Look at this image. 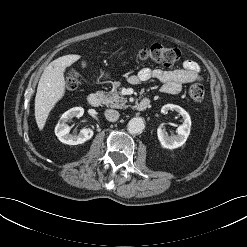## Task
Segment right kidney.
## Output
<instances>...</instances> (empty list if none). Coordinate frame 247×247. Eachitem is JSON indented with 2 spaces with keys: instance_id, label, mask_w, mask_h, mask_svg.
Segmentation results:
<instances>
[{
  "instance_id": "obj_1",
  "label": "right kidney",
  "mask_w": 247,
  "mask_h": 247,
  "mask_svg": "<svg viewBox=\"0 0 247 247\" xmlns=\"http://www.w3.org/2000/svg\"><path fill=\"white\" fill-rule=\"evenodd\" d=\"M83 114L84 109L82 107H74L66 111L61 116L55 127V134L62 143L68 145H78L92 138L93 130L90 128L82 129L78 135L69 134L70 127L66 123L74 117H81Z\"/></svg>"
}]
</instances>
